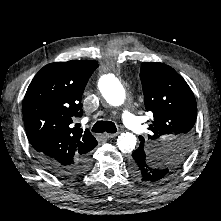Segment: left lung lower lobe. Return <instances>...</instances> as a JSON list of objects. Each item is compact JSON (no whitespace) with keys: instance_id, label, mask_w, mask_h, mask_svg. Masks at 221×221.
<instances>
[{"instance_id":"1","label":"left lung lower lobe","mask_w":221,"mask_h":221,"mask_svg":"<svg viewBox=\"0 0 221 221\" xmlns=\"http://www.w3.org/2000/svg\"><path fill=\"white\" fill-rule=\"evenodd\" d=\"M129 163L131 174L144 183L152 184L158 176L163 174L151 165L149 155L146 154L143 145H140L139 148L132 153Z\"/></svg>"}]
</instances>
